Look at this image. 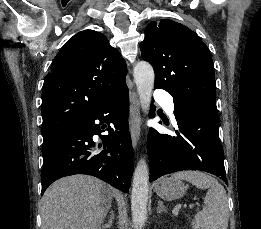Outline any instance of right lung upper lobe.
Returning a JSON list of instances; mask_svg holds the SVG:
<instances>
[{"instance_id": "1", "label": "right lung upper lobe", "mask_w": 261, "mask_h": 229, "mask_svg": "<svg viewBox=\"0 0 261 229\" xmlns=\"http://www.w3.org/2000/svg\"><path fill=\"white\" fill-rule=\"evenodd\" d=\"M126 62L94 30H84L61 48L42 89V130L61 133L91 117L115 93L127 88Z\"/></svg>"}]
</instances>
